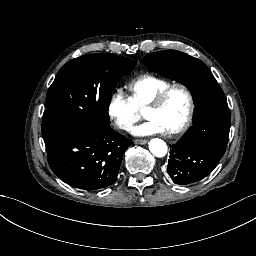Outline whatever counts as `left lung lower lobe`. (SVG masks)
Segmentation results:
<instances>
[{
    "mask_svg": "<svg viewBox=\"0 0 256 256\" xmlns=\"http://www.w3.org/2000/svg\"><path fill=\"white\" fill-rule=\"evenodd\" d=\"M168 174L172 178L173 182L179 185L194 183L206 177V176H196V175H179V174H174L170 172H168Z\"/></svg>",
    "mask_w": 256,
    "mask_h": 256,
    "instance_id": "obj_1",
    "label": "left lung lower lobe"
}]
</instances>
